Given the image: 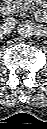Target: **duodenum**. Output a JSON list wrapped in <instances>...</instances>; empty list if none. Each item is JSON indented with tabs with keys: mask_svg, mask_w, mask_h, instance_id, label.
<instances>
[{
	"mask_svg": "<svg viewBox=\"0 0 47 129\" xmlns=\"http://www.w3.org/2000/svg\"><path fill=\"white\" fill-rule=\"evenodd\" d=\"M1 12L6 16H12L15 12V8L10 0H5L1 5ZM36 16L40 19L45 18V12L41 9L36 10Z\"/></svg>",
	"mask_w": 47,
	"mask_h": 129,
	"instance_id": "1",
	"label": "duodenum"
}]
</instances>
